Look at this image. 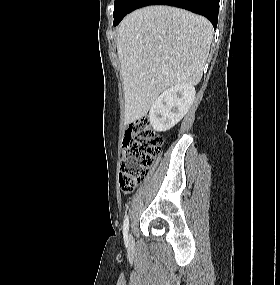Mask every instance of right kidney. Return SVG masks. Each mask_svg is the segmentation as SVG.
<instances>
[{"label":"right kidney","instance_id":"1","mask_svg":"<svg viewBox=\"0 0 280 285\" xmlns=\"http://www.w3.org/2000/svg\"><path fill=\"white\" fill-rule=\"evenodd\" d=\"M191 84H177L165 90L152 104L149 121L153 129L164 132L174 127L188 112L195 99Z\"/></svg>","mask_w":280,"mask_h":285}]
</instances>
